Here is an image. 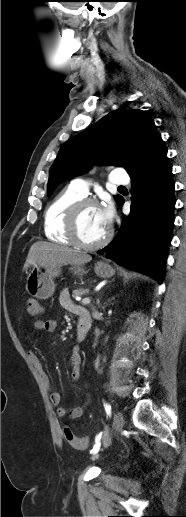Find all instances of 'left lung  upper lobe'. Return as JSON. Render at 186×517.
Here are the masks:
<instances>
[{"instance_id":"left-lung-upper-lobe-1","label":"left lung upper lobe","mask_w":186,"mask_h":517,"mask_svg":"<svg viewBox=\"0 0 186 517\" xmlns=\"http://www.w3.org/2000/svg\"><path fill=\"white\" fill-rule=\"evenodd\" d=\"M160 139L149 114L120 108L63 144L50 168L48 195L98 162L124 166L130 173ZM121 198L115 196L117 203Z\"/></svg>"}]
</instances>
